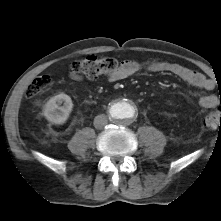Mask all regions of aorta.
I'll return each instance as SVG.
<instances>
[{
    "mask_svg": "<svg viewBox=\"0 0 221 221\" xmlns=\"http://www.w3.org/2000/svg\"><path fill=\"white\" fill-rule=\"evenodd\" d=\"M137 114V106L129 99H119L112 103L109 108V116L112 121L122 125L132 123Z\"/></svg>",
    "mask_w": 221,
    "mask_h": 221,
    "instance_id": "762f6f07",
    "label": "aorta"
}]
</instances>
